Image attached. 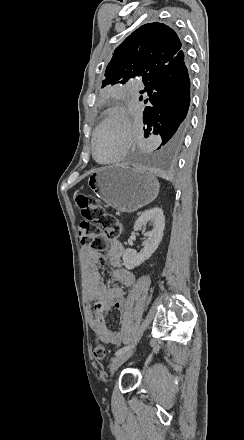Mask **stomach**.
Returning <instances> with one entry per match:
<instances>
[{"mask_svg": "<svg viewBox=\"0 0 244 440\" xmlns=\"http://www.w3.org/2000/svg\"><path fill=\"white\" fill-rule=\"evenodd\" d=\"M88 186L118 212H136L147 206L157 198L160 188L152 172L124 164L99 168L90 174Z\"/></svg>", "mask_w": 244, "mask_h": 440, "instance_id": "obj_1", "label": "stomach"}]
</instances>
